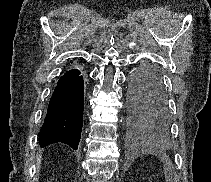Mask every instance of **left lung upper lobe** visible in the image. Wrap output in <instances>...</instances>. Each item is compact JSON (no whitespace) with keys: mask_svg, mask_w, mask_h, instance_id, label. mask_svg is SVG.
<instances>
[{"mask_svg":"<svg viewBox=\"0 0 211 182\" xmlns=\"http://www.w3.org/2000/svg\"><path fill=\"white\" fill-rule=\"evenodd\" d=\"M130 112H131V110H130ZM131 115H132V114H131ZM136 121H137V120H136ZM137 123H138V124H141V125H144V124H142V123H140V122H138V121H137ZM144 127H145L147 130H149V131L151 132V130H150L149 127H147L146 125H144Z\"/></svg>","mask_w":211,"mask_h":182,"instance_id":"5c2ea615","label":"left lung upper lobe"}]
</instances>
